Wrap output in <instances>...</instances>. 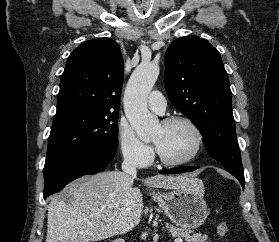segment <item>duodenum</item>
<instances>
[{
  "label": "duodenum",
  "mask_w": 279,
  "mask_h": 242,
  "mask_svg": "<svg viewBox=\"0 0 279 242\" xmlns=\"http://www.w3.org/2000/svg\"><path fill=\"white\" fill-rule=\"evenodd\" d=\"M114 242H124L123 240H115Z\"/></svg>",
  "instance_id": "duodenum-1"
}]
</instances>
